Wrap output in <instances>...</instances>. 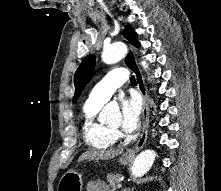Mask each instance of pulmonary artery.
<instances>
[{
	"label": "pulmonary artery",
	"mask_w": 221,
	"mask_h": 191,
	"mask_svg": "<svg viewBox=\"0 0 221 191\" xmlns=\"http://www.w3.org/2000/svg\"><path fill=\"white\" fill-rule=\"evenodd\" d=\"M129 79L126 68L118 67L109 73L90 91L88 100L95 103H105L113 92Z\"/></svg>",
	"instance_id": "1"
}]
</instances>
